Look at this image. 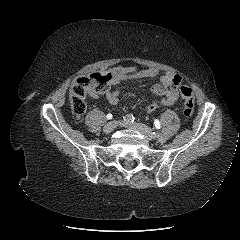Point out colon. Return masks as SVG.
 Wrapping results in <instances>:
<instances>
[{
    "instance_id": "obj_1",
    "label": "colon",
    "mask_w": 240,
    "mask_h": 240,
    "mask_svg": "<svg viewBox=\"0 0 240 240\" xmlns=\"http://www.w3.org/2000/svg\"><path fill=\"white\" fill-rule=\"evenodd\" d=\"M110 79L109 73L95 72L88 76L77 78L73 82L69 98L72 113L76 118H80L86 111V96L88 94L105 92ZM180 94L184 102L183 115L185 118H190L194 113V94L188 86H182Z\"/></svg>"
}]
</instances>
